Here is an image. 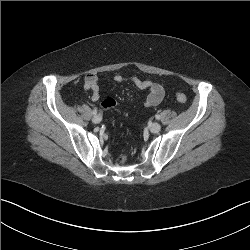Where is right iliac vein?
<instances>
[{"label":"right iliac vein","instance_id":"right-iliac-vein-1","mask_svg":"<svg viewBox=\"0 0 250 250\" xmlns=\"http://www.w3.org/2000/svg\"><path fill=\"white\" fill-rule=\"evenodd\" d=\"M102 120V117L100 115H95L93 118H92V121L93 123H100Z\"/></svg>","mask_w":250,"mask_h":250}]
</instances>
